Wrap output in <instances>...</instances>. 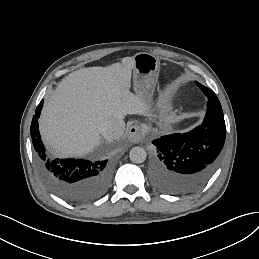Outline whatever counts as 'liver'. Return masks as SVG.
<instances>
[{
	"label": "liver",
	"instance_id": "obj_1",
	"mask_svg": "<svg viewBox=\"0 0 259 259\" xmlns=\"http://www.w3.org/2000/svg\"><path fill=\"white\" fill-rule=\"evenodd\" d=\"M134 64L127 57L124 63L79 69L62 79L39 118L44 144L62 157L83 156L99 146V126L119 113L130 114Z\"/></svg>",
	"mask_w": 259,
	"mask_h": 259
}]
</instances>
